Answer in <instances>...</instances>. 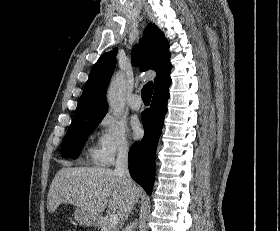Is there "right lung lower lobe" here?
<instances>
[{
  "label": "right lung lower lobe",
  "mask_w": 280,
  "mask_h": 231,
  "mask_svg": "<svg viewBox=\"0 0 280 231\" xmlns=\"http://www.w3.org/2000/svg\"><path fill=\"white\" fill-rule=\"evenodd\" d=\"M169 91L154 94L151 107L142 113L144 137L129 151V171L132 178L151 195L155 176V153L164 117Z\"/></svg>",
  "instance_id": "98d812e1"
}]
</instances>
